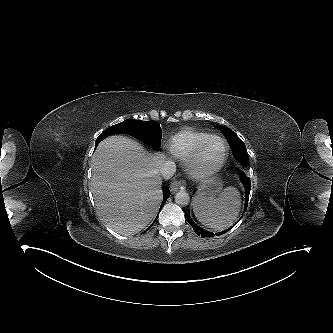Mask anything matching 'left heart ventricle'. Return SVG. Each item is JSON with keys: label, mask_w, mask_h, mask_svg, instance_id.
I'll return each instance as SVG.
<instances>
[{"label": "left heart ventricle", "mask_w": 333, "mask_h": 333, "mask_svg": "<svg viewBox=\"0 0 333 333\" xmlns=\"http://www.w3.org/2000/svg\"><path fill=\"white\" fill-rule=\"evenodd\" d=\"M224 152V144L220 140H212L204 150L201 167L209 168L219 162Z\"/></svg>", "instance_id": "1"}]
</instances>
